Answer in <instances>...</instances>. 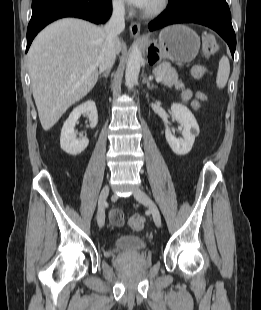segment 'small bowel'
I'll list each match as a JSON object with an SVG mask.
<instances>
[{"instance_id": "c3829d8e", "label": "small bowel", "mask_w": 261, "mask_h": 310, "mask_svg": "<svg viewBox=\"0 0 261 310\" xmlns=\"http://www.w3.org/2000/svg\"><path fill=\"white\" fill-rule=\"evenodd\" d=\"M182 100L191 105L194 109H199L201 104L205 102L206 97L201 92L193 93L191 90L186 89L182 92ZM112 211V210H111ZM123 214V213H122ZM112 222V221H111ZM123 222V221H122Z\"/></svg>"}]
</instances>
